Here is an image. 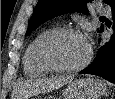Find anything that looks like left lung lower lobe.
<instances>
[{"label":"left lung lower lobe","mask_w":115,"mask_h":99,"mask_svg":"<svg viewBox=\"0 0 115 99\" xmlns=\"http://www.w3.org/2000/svg\"><path fill=\"white\" fill-rule=\"evenodd\" d=\"M112 8L113 29L115 30V4ZM80 74H93L115 83V35L112 40L104 43L98 50L94 61Z\"/></svg>","instance_id":"left-lung-lower-lobe-1"}]
</instances>
